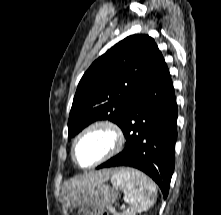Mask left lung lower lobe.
Segmentation results:
<instances>
[{
  "instance_id": "obj_1",
  "label": "left lung lower lobe",
  "mask_w": 221,
  "mask_h": 215,
  "mask_svg": "<svg viewBox=\"0 0 221 215\" xmlns=\"http://www.w3.org/2000/svg\"><path fill=\"white\" fill-rule=\"evenodd\" d=\"M177 111L169 69L160 53L123 111L119 125L126 138L123 152L97 169L137 168L159 185L166 198L175 164Z\"/></svg>"
}]
</instances>
